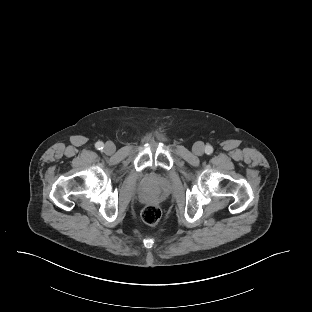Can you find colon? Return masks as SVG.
Returning <instances> with one entry per match:
<instances>
[{"instance_id": "colon-1", "label": "colon", "mask_w": 312, "mask_h": 312, "mask_svg": "<svg viewBox=\"0 0 312 312\" xmlns=\"http://www.w3.org/2000/svg\"><path fill=\"white\" fill-rule=\"evenodd\" d=\"M161 216V209L154 204L147 205L142 211L143 221L150 226H156L160 222Z\"/></svg>"}]
</instances>
